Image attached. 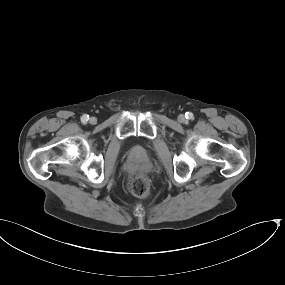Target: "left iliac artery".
Instances as JSON below:
<instances>
[{"instance_id":"1","label":"left iliac artery","mask_w":285,"mask_h":285,"mask_svg":"<svg viewBox=\"0 0 285 285\" xmlns=\"http://www.w3.org/2000/svg\"><path fill=\"white\" fill-rule=\"evenodd\" d=\"M193 113L192 112H186L185 114V118L188 119V120H192L193 119Z\"/></svg>"}]
</instances>
